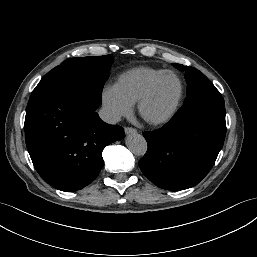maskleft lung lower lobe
I'll return each mask as SVG.
<instances>
[{"mask_svg":"<svg viewBox=\"0 0 257 257\" xmlns=\"http://www.w3.org/2000/svg\"><path fill=\"white\" fill-rule=\"evenodd\" d=\"M225 133L224 99L179 109L164 127L143 133L148 150L139 167L160 188L193 187L214 165Z\"/></svg>","mask_w":257,"mask_h":257,"instance_id":"obj_1","label":"left lung lower lobe"}]
</instances>
